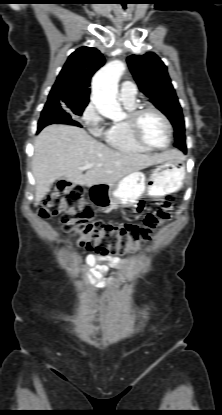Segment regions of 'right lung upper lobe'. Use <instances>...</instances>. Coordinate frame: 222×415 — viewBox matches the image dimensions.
I'll return each instance as SVG.
<instances>
[{"mask_svg":"<svg viewBox=\"0 0 222 415\" xmlns=\"http://www.w3.org/2000/svg\"><path fill=\"white\" fill-rule=\"evenodd\" d=\"M104 63L103 55L96 48H78L69 56L58 75L50 91L47 103H88L91 78ZM45 109L50 110L48 108Z\"/></svg>","mask_w":222,"mask_h":415,"instance_id":"cb5924a9","label":"right lung upper lobe"}]
</instances>
